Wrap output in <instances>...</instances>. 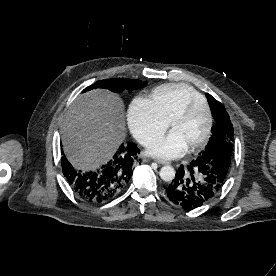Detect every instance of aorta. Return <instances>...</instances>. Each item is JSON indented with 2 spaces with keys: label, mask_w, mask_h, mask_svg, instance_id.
Returning a JSON list of instances; mask_svg holds the SVG:
<instances>
[{
  "label": "aorta",
  "mask_w": 276,
  "mask_h": 276,
  "mask_svg": "<svg viewBox=\"0 0 276 276\" xmlns=\"http://www.w3.org/2000/svg\"><path fill=\"white\" fill-rule=\"evenodd\" d=\"M160 177L165 182H170L175 178V170L171 166H163L160 169Z\"/></svg>",
  "instance_id": "aorta-1"
}]
</instances>
